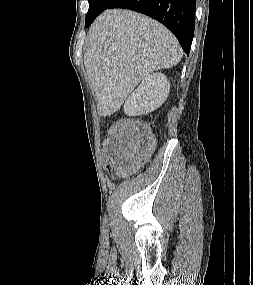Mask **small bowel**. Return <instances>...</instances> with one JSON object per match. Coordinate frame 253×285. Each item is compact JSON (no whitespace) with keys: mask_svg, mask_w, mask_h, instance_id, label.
Returning a JSON list of instances; mask_svg holds the SVG:
<instances>
[{"mask_svg":"<svg viewBox=\"0 0 253 285\" xmlns=\"http://www.w3.org/2000/svg\"><path fill=\"white\" fill-rule=\"evenodd\" d=\"M119 150L123 155L127 156L131 153L132 147L129 144H126L122 145Z\"/></svg>","mask_w":253,"mask_h":285,"instance_id":"1","label":"small bowel"}]
</instances>
